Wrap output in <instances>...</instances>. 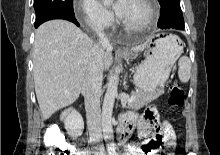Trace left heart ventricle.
<instances>
[{
    "instance_id": "1",
    "label": "left heart ventricle",
    "mask_w": 220,
    "mask_h": 155,
    "mask_svg": "<svg viewBox=\"0 0 220 155\" xmlns=\"http://www.w3.org/2000/svg\"><path fill=\"white\" fill-rule=\"evenodd\" d=\"M148 18V9L141 0H129L122 20L129 25L138 26Z\"/></svg>"
}]
</instances>
